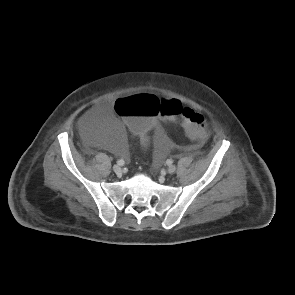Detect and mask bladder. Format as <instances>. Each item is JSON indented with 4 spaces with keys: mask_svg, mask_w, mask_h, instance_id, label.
Segmentation results:
<instances>
[{
    "mask_svg": "<svg viewBox=\"0 0 295 295\" xmlns=\"http://www.w3.org/2000/svg\"><path fill=\"white\" fill-rule=\"evenodd\" d=\"M77 130L80 136L97 148L106 149L117 158H124L129 153L127 137L113 113L102 105H91L85 108L77 119ZM155 159L163 162L166 159L167 143L163 139L155 142Z\"/></svg>",
    "mask_w": 295,
    "mask_h": 295,
    "instance_id": "31cf9c89",
    "label": "bladder"
}]
</instances>
